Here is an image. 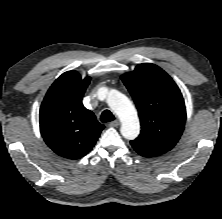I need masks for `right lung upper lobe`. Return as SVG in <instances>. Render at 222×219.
<instances>
[{
  "instance_id": "obj_1",
  "label": "right lung upper lobe",
  "mask_w": 222,
  "mask_h": 219,
  "mask_svg": "<svg viewBox=\"0 0 222 219\" xmlns=\"http://www.w3.org/2000/svg\"><path fill=\"white\" fill-rule=\"evenodd\" d=\"M90 82L77 71L63 73L49 88L40 108V131L59 156L79 159L95 145L104 128L82 104Z\"/></svg>"
}]
</instances>
